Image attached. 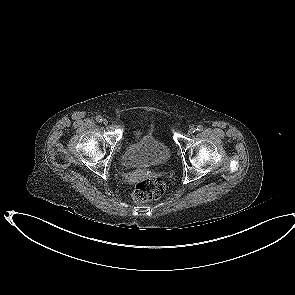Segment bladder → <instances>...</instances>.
I'll use <instances>...</instances> for the list:
<instances>
[{
	"label": "bladder",
	"instance_id": "obj_1",
	"mask_svg": "<svg viewBox=\"0 0 295 295\" xmlns=\"http://www.w3.org/2000/svg\"><path fill=\"white\" fill-rule=\"evenodd\" d=\"M171 156V150L164 141L148 134L125 148L120 159L124 166L136 168L166 164Z\"/></svg>",
	"mask_w": 295,
	"mask_h": 295
}]
</instances>
